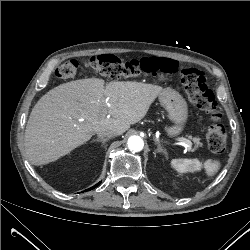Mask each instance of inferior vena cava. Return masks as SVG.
I'll use <instances>...</instances> for the list:
<instances>
[{"mask_svg": "<svg viewBox=\"0 0 250 250\" xmlns=\"http://www.w3.org/2000/svg\"><path fill=\"white\" fill-rule=\"evenodd\" d=\"M117 135H118V133L115 130H104V129H102V130H99L97 132V136L100 137V138L116 137Z\"/></svg>", "mask_w": 250, "mask_h": 250, "instance_id": "602c4592", "label": "inferior vena cava"}]
</instances>
